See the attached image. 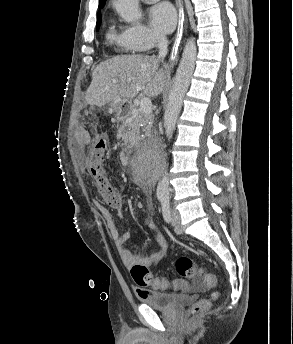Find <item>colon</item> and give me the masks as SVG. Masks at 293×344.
Instances as JSON below:
<instances>
[{
	"label": "colon",
	"instance_id": "5ec220e1",
	"mask_svg": "<svg viewBox=\"0 0 293 344\" xmlns=\"http://www.w3.org/2000/svg\"><path fill=\"white\" fill-rule=\"evenodd\" d=\"M106 149L107 141L102 137L97 138L89 155L88 166L103 200L108 205L117 208L121 205L122 199L117 189L111 184L104 170ZM175 269L181 277L195 281L204 275L203 268L188 257L178 258L175 262ZM130 274L134 283L140 288L151 287L154 289H167L169 287H173L179 290L189 288L187 283L183 280L170 282L167 279L155 277L144 265H135L131 267ZM208 280L209 282H212L214 280L213 275H209ZM217 297L218 293L214 292L210 298L197 301L190 308L189 314L191 316H196L207 311Z\"/></svg>",
	"mask_w": 293,
	"mask_h": 344
}]
</instances>
